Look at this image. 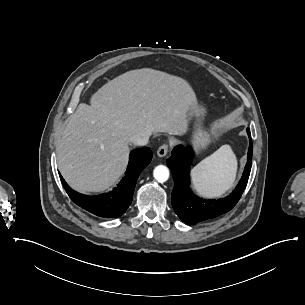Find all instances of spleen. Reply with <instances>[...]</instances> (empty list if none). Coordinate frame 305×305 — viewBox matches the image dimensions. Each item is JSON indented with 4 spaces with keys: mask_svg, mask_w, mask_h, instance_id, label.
I'll return each instance as SVG.
<instances>
[{
    "mask_svg": "<svg viewBox=\"0 0 305 305\" xmlns=\"http://www.w3.org/2000/svg\"><path fill=\"white\" fill-rule=\"evenodd\" d=\"M235 171L232 151L227 145L221 146L193 168L194 185L201 194L219 196L232 186Z\"/></svg>",
    "mask_w": 305,
    "mask_h": 305,
    "instance_id": "spleen-1",
    "label": "spleen"
}]
</instances>
